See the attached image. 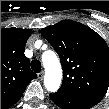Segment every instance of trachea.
<instances>
[{
	"label": "trachea",
	"mask_w": 109,
	"mask_h": 109,
	"mask_svg": "<svg viewBox=\"0 0 109 109\" xmlns=\"http://www.w3.org/2000/svg\"><path fill=\"white\" fill-rule=\"evenodd\" d=\"M31 68L35 73H39L41 71V62L39 60H33L31 62Z\"/></svg>",
	"instance_id": "1"
}]
</instances>
